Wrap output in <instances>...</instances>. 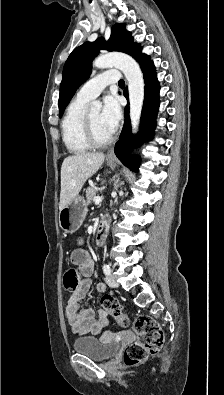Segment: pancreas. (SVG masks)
<instances>
[{
	"label": "pancreas",
	"mask_w": 224,
	"mask_h": 395,
	"mask_svg": "<svg viewBox=\"0 0 224 395\" xmlns=\"http://www.w3.org/2000/svg\"><path fill=\"white\" fill-rule=\"evenodd\" d=\"M99 190L95 187H90L86 190V200L88 204L94 202Z\"/></svg>",
	"instance_id": "pancreas-1"
}]
</instances>
